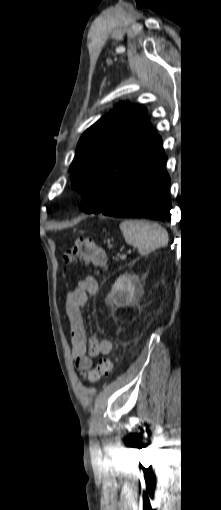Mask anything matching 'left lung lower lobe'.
Instances as JSON below:
<instances>
[{
  "label": "left lung lower lobe",
  "mask_w": 221,
  "mask_h": 510,
  "mask_svg": "<svg viewBox=\"0 0 221 510\" xmlns=\"http://www.w3.org/2000/svg\"><path fill=\"white\" fill-rule=\"evenodd\" d=\"M165 165L166 156L162 152L147 163L107 206L96 209L81 202L80 210L112 217L169 221L172 208L169 195L170 178Z\"/></svg>",
  "instance_id": "0a47b994"
}]
</instances>
